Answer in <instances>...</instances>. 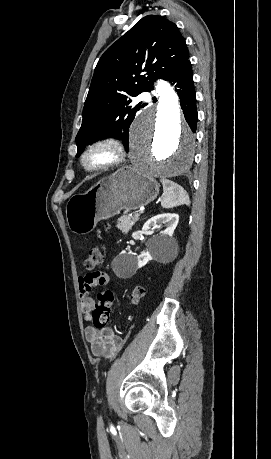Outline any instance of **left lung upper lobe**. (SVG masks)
I'll list each match as a JSON object with an SVG mask.
<instances>
[{
    "label": "left lung upper lobe",
    "instance_id": "left-lung-upper-lobe-1",
    "mask_svg": "<svg viewBox=\"0 0 271 459\" xmlns=\"http://www.w3.org/2000/svg\"><path fill=\"white\" fill-rule=\"evenodd\" d=\"M188 58L177 26L158 15L143 17L112 44L94 71L76 136V156L103 137L122 139L128 148L129 127L143 107L141 102L132 104L130 97L153 90L155 79H166Z\"/></svg>",
    "mask_w": 271,
    "mask_h": 459
}]
</instances>
